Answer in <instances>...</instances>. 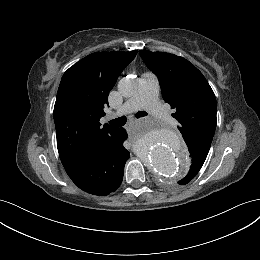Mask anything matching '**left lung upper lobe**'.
Returning <instances> with one entry per match:
<instances>
[{
  "label": "left lung upper lobe",
  "mask_w": 260,
  "mask_h": 260,
  "mask_svg": "<svg viewBox=\"0 0 260 260\" xmlns=\"http://www.w3.org/2000/svg\"><path fill=\"white\" fill-rule=\"evenodd\" d=\"M148 68L158 76L165 102L176 109L172 116L189 152L206 159L216 128V98L202 73L183 57L140 50Z\"/></svg>",
  "instance_id": "5c2ea615"
}]
</instances>
